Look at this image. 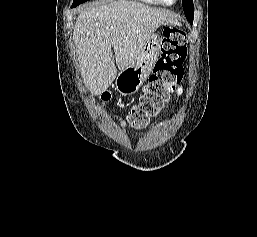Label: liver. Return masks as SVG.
<instances>
[{
  "instance_id": "6515ba94",
  "label": "liver",
  "mask_w": 257,
  "mask_h": 237,
  "mask_svg": "<svg viewBox=\"0 0 257 237\" xmlns=\"http://www.w3.org/2000/svg\"><path fill=\"white\" fill-rule=\"evenodd\" d=\"M168 24L178 21L163 10L126 0L82 9L73 40L89 91L94 95L106 91L117 76V68L122 71L132 65L154 32Z\"/></svg>"
}]
</instances>
